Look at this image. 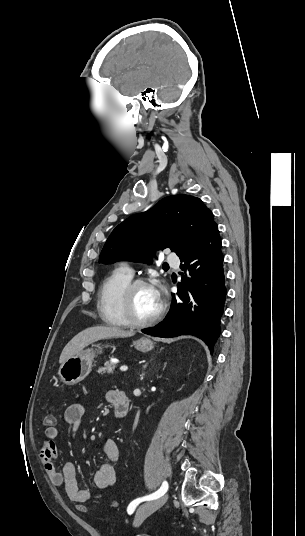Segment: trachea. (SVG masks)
Here are the masks:
<instances>
[{
	"instance_id": "obj_1",
	"label": "trachea",
	"mask_w": 305,
	"mask_h": 536,
	"mask_svg": "<svg viewBox=\"0 0 305 536\" xmlns=\"http://www.w3.org/2000/svg\"><path fill=\"white\" fill-rule=\"evenodd\" d=\"M164 266H165L166 269H169V265H168V264H166V265H164Z\"/></svg>"
}]
</instances>
